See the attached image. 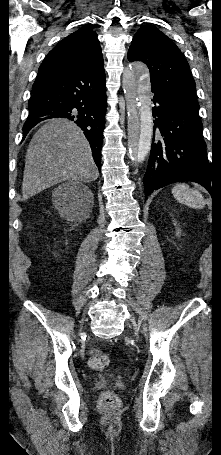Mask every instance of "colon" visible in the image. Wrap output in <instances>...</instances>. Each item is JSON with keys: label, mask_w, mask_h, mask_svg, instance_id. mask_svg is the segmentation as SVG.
I'll return each mask as SVG.
<instances>
[{"label": "colon", "mask_w": 221, "mask_h": 455, "mask_svg": "<svg viewBox=\"0 0 221 455\" xmlns=\"http://www.w3.org/2000/svg\"><path fill=\"white\" fill-rule=\"evenodd\" d=\"M110 360L106 353L99 349H93L89 358V366L94 370H104L109 366ZM100 406L109 411H115L120 407L118 396L112 391H105L99 399Z\"/></svg>", "instance_id": "5ec220e1"}]
</instances>
